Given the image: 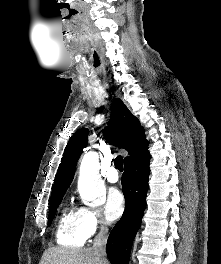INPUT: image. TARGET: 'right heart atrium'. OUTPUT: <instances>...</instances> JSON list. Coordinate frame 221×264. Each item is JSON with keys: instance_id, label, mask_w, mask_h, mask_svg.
<instances>
[{"instance_id": "right-heart-atrium-1", "label": "right heart atrium", "mask_w": 221, "mask_h": 264, "mask_svg": "<svg viewBox=\"0 0 221 264\" xmlns=\"http://www.w3.org/2000/svg\"><path fill=\"white\" fill-rule=\"evenodd\" d=\"M80 215L83 229L88 238L99 231H104L107 227V222L102 218L98 209L82 207Z\"/></svg>"}]
</instances>
